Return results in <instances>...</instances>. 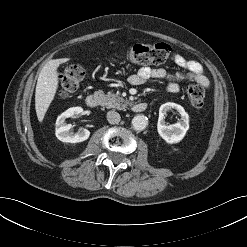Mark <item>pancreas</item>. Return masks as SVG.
I'll return each instance as SVG.
<instances>
[{
  "label": "pancreas",
  "mask_w": 247,
  "mask_h": 247,
  "mask_svg": "<svg viewBox=\"0 0 247 247\" xmlns=\"http://www.w3.org/2000/svg\"><path fill=\"white\" fill-rule=\"evenodd\" d=\"M96 95L100 97L101 105L105 106L106 108L123 110L127 107L128 102L118 93L114 94L108 92L105 94L102 90H99L96 92Z\"/></svg>",
  "instance_id": "1"
}]
</instances>
